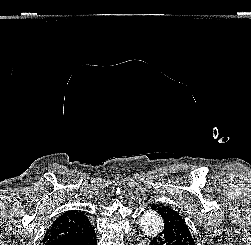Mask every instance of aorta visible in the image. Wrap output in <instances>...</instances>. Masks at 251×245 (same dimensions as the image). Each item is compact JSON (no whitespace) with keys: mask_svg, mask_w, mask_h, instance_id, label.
<instances>
[{"mask_svg":"<svg viewBox=\"0 0 251 245\" xmlns=\"http://www.w3.org/2000/svg\"><path fill=\"white\" fill-rule=\"evenodd\" d=\"M142 231L147 237L156 236L163 227L162 219L160 215L156 212H146L144 213L139 221ZM137 245H149L144 241Z\"/></svg>","mask_w":251,"mask_h":245,"instance_id":"obj_1","label":"aorta"}]
</instances>
